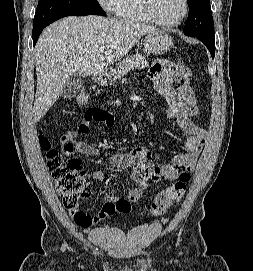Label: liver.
Instances as JSON below:
<instances>
[{
  "label": "liver",
  "instance_id": "1",
  "mask_svg": "<svg viewBox=\"0 0 253 271\" xmlns=\"http://www.w3.org/2000/svg\"><path fill=\"white\" fill-rule=\"evenodd\" d=\"M155 27L89 15L66 17L47 27L35 47L37 90L33 107L39 121L75 73L87 77L107 70ZM104 48V52H99Z\"/></svg>",
  "mask_w": 253,
  "mask_h": 271
}]
</instances>
